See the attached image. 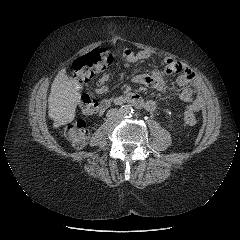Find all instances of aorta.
<instances>
[{
  "instance_id": "762f6f07",
  "label": "aorta",
  "mask_w": 240,
  "mask_h": 240,
  "mask_svg": "<svg viewBox=\"0 0 240 240\" xmlns=\"http://www.w3.org/2000/svg\"><path fill=\"white\" fill-rule=\"evenodd\" d=\"M119 111L122 117H130L133 114V108L131 105H122Z\"/></svg>"
}]
</instances>
